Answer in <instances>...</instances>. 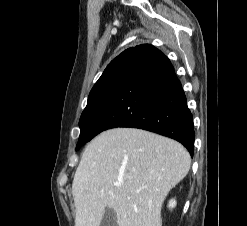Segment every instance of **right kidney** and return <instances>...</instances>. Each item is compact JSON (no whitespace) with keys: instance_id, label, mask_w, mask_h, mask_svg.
<instances>
[{"instance_id":"1","label":"right kidney","mask_w":247,"mask_h":226,"mask_svg":"<svg viewBox=\"0 0 247 226\" xmlns=\"http://www.w3.org/2000/svg\"><path fill=\"white\" fill-rule=\"evenodd\" d=\"M169 208H174L176 206V201L174 199L169 201Z\"/></svg>"}]
</instances>
